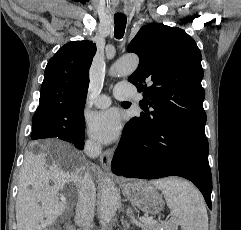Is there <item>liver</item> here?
I'll return each instance as SVG.
<instances>
[{"label": "liver", "mask_w": 241, "mask_h": 230, "mask_svg": "<svg viewBox=\"0 0 241 230\" xmlns=\"http://www.w3.org/2000/svg\"><path fill=\"white\" fill-rule=\"evenodd\" d=\"M49 146L42 145L38 155H25L15 206L17 230H41L54 223L67 208L66 200L59 201L57 196L66 183L72 182L76 186L75 196L79 194L85 161L67 143L54 141L53 148ZM49 155L54 157L51 162Z\"/></svg>", "instance_id": "liver-1"}]
</instances>
